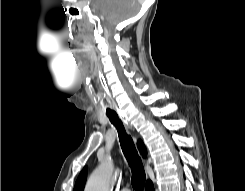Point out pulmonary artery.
<instances>
[{
  "label": "pulmonary artery",
  "instance_id": "e3ab8cb5",
  "mask_svg": "<svg viewBox=\"0 0 245 191\" xmlns=\"http://www.w3.org/2000/svg\"><path fill=\"white\" fill-rule=\"evenodd\" d=\"M122 191H130V189H128V188H125V189H123Z\"/></svg>",
  "mask_w": 245,
  "mask_h": 191
}]
</instances>
